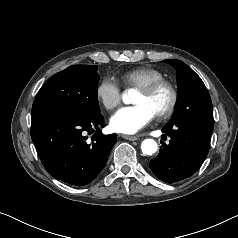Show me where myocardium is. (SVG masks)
Here are the masks:
<instances>
[{
    "label": "myocardium",
    "instance_id": "obj_1",
    "mask_svg": "<svg viewBox=\"0 0 238 238\" xmlns=\"http://www.w3.org/2000/svg\"><path fill=\"white\" fill-rule=\"evenodd\" d=\"M160 89H166L170 95V101L166 108L156 113L159 118L164 119L170 117L177 107L178 92L175 86L166 79H160L139 88L140 91L147 95H152Z\"/></svg>",
    "mask_w": 238,
    "mask_h": 238
}]
</instances>
